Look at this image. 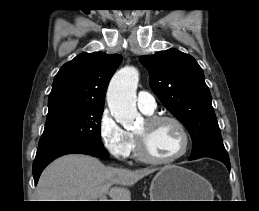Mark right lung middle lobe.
<instances>
[{
    "mask_svg": "<svg viewBox=\"0 0 259 211\" xmlns=\"http://www.w3.org/2000/svg\"><path fill=\"white\" fill-rule=\"evenodd\" d=\"M102 113L103 108H83L46 120L38 148L62 142L103 147L100 134Z\"/></svg>",
    "mask_w": 259,
    "mask_h": 211,
    "instance_id": "right-lung-middle-lobe-1",
    "label": "right lung middle lobe"
}]
</instances>
